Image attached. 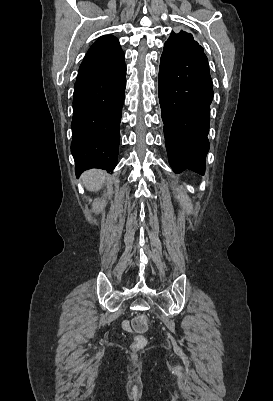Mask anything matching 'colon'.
<instances>
[{
    "label": "colon",
    "instance_id": "5ec220e1",
    "mask_svg": "<svg viewBox=\"0 0 273 401\" xmlns=\"http://www.w3.org/2000/svg\"><path fill=\"white\" fill-rule=\"evenodd\" d=\"M141 319L145 318L144 314L140 315ZM141 319L136 320L133 324L134 329L137 333H145L147 330V323ZM149 339L148 337H135L134 340L128 341V356L130 358H135L137 353H144L145 349L148 347Z\"/></svg>",
    "mask_w": 273,
    "mask_h": 401
}]
</instances>
